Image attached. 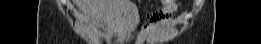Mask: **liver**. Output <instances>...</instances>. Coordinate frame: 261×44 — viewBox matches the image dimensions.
Instances as JSON below:
<instances>
[{"mask_svg":"<svg viewBox=\"0 0 261 44\" xmlns=\"http://www.w3.org/2000/svg\"><path fill=\"white\" fill-rule=\"evenodd\" d=\"M75 3L94 22L107 25L110 29L140 30V25H115L138 23V10L135 6L131 8V0H76Z\"/></svg>","mask_w":261,"mask_h":44,"instance_id":"liver-1","label":"liver"}]
</instances>
